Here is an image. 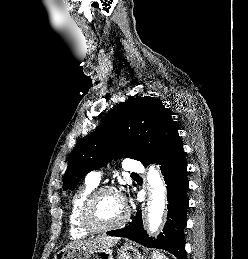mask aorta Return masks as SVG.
Listing matches in <instances>:
<instances>
[{"label":"aorta","mask_w":248,"mask_h":259,"mask_svg":"<svg viewBox=\"0 0 248 259\" xmlns=\"http://www.w3.org/2000/svg\"><path fill=\"white\" fill-rule=\"evenodd\" d=\"M148 182L152 188L148 222L150 232L154 233L162 224V218L166 208V188L160 174L154 169V166L150 167Z\"/></svg>","instance_id":"aorta-1"}]
</instances>
